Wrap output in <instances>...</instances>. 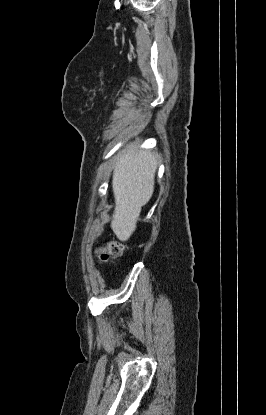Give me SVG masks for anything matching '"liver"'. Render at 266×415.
Listing matches in <instances>:
<instances>
[{
	"label": "liver",
	"mask_w": 266,
	"mask_h": 415,
	"mask_svg": "<svg viewBox=\"0 0 266 415\" xmlns=\"http://www.w3.org/2000/svg\"><path fill=\"white\" fill-rule=\"evenodd\" d=\"M158 163L154 152L138 151L132 146L117 157L112 179L115 210L111 228L121 241L133 234L142 206L152 197Z\"/></svg>",
	"instance_id": "liver-1"
}]
</instances>
